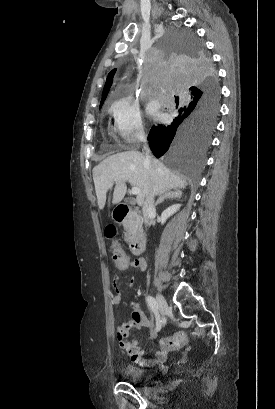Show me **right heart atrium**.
<instances>
[{"instance_id": "right-heart-atrium-1", "label": "right heart atrium", "mask_w": 275, "mask_h": 409, "mask_svg": "<svg viewBox=\"0 0 275 409\" xmlns=\"http://www.w3.org/2000/svg\"><path fill=\"white\" fill-rule=\"evenodd\" d=\"M120 143H140L146 137L145 124L139 107L128 99L113 108Z\"/></svg>"}]
</instances>
